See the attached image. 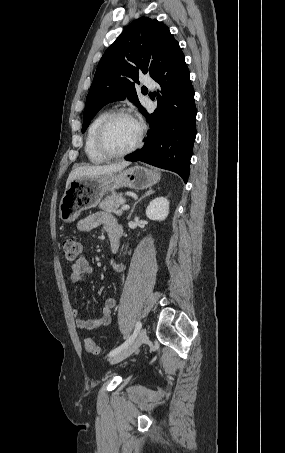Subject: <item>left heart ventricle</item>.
Returning a JSON list of instances; mask_svg holds the SVG:
<instances>
[{
  "instance_id": "obj_1",
  "label": "left heart ventricle",
  "mask_w": 285,
  "mask_h": 453,
  "mask_svg": "<svg viewBox=\"0 0 285 453\" xmlns=\"http://www.w3.org/2000/svg\"><path fill=\"white\" fill-rule=\"evenodd\" d=\"M139 134L138 124L129 117H118L109 126L106 143L113 151H123L131 147Z\"/></svg>"
}]
</instances>
